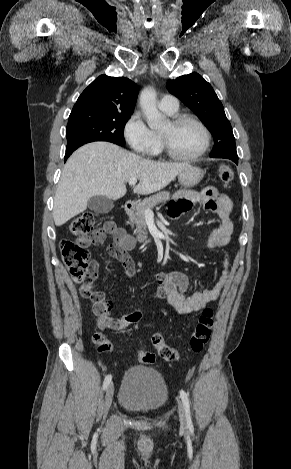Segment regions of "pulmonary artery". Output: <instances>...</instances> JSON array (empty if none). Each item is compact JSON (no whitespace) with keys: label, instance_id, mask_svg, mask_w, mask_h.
Returning <instances> with one entry per match:
<instances>
[{"label":"pulmonary artery","instance_id":"obj_1","mask_svg":"<svg viewBox=\"0 0 291 469\" xmlns=\"http://www.w3.org/2000/svg\"><path fill=\"white\" fill-rule=\"evenodd\" d=\"M158 106L161 110L166 111V112H176L179 107V103L176 97L173 95H164L159 103Z\"/></svg>","mask_w":291,"mask_h":469}]
</instances>
